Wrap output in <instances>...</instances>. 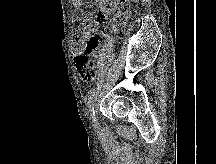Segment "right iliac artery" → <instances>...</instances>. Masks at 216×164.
<instances>
[{
  "label": "right iliac artery",
  "mask_w": 216,
  "mask_h": 164,
  "mask_svg": "<svg viewBox=\"0 0 216 164\" xmlns=\"http://www.w3.org/2000/svg\"><path fill=\"white\" fill-rule=\"evenodd\" d=\"M95 93H96V89L94 88L90 92V97H89V101H88L90 115H91V118L93 119V121H95V111H94V107H93Z\"/></svg>",
  "instance_id": "obj_1"
}]
</instances>
